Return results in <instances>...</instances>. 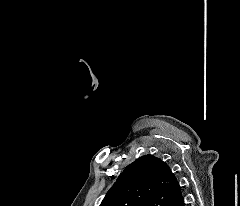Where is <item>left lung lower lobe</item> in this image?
I'll list each match as a JSON object with an SVG mask.
<instances>
[{"mask_svg": "<svg viewBox=\"0 0 240 206\" xmlns=\"http://www.w3.org/2000/svg\"><path fill=\"white\" fill-rule=\"evenodd\" d=\"M170 206H186L184 201V196L182 193V190L178 193V195L175 197L173 202L170 204Z\"/></svg>", "mask_w": 240, "mask_h": 206, "instance_id": "1", "label": "left lung lower lobe"}]
</instances>
